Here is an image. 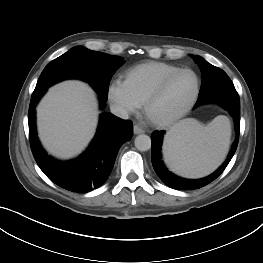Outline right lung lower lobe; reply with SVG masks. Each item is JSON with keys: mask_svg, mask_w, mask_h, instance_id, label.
<instances>
[{"mask_svg": "<svg viewBox=\"0 0 263 263\" xmlns=\"http://www.w3.org/2000/svg\"><path fill=\"white\" fill-rule=\"evenodd\" d=\"M45 93H33L28 112L29 138L34 158L45 175L56 185L77 193L101 186L110 175L119 148L133 136V125L111 113H102L92 144L80 157L58 161L41 147L35 127V106ZM105 102L100 99V106Z\"/></svg>", "mask_w": 263, "mask_h": 263, "instance_id": "obj_1", "label": "right lung lower lobe"}]
</instances>
